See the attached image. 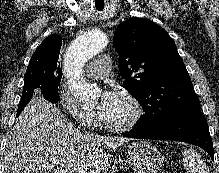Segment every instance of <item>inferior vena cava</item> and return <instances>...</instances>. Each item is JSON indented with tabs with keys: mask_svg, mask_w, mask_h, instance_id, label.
<instances>
[{
	"mask_svg": "<svg viewBox=\"0 0 219 173\" xmlns=\"http://www.w3.org/2000/svg\"><path fill=\"white\" fill-rule=\"evenodd\" d=\"M84 130H85V128H84ZM84 134L87 135V136H92V134L87 132V131H85Z\"/></svg>",
	"mask_w": 219,
	"mask_h": 173,
	"instance_id": "obj_1",
	"label": "inferior vena cava"
}]
</instances>
